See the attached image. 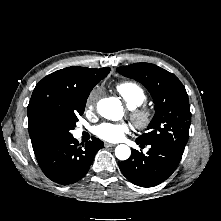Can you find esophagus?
Here are the masks:
<instances>
[{
	"label": "esophagus",
	"instance_id": "1",
	"mask_svg": "<svg viewBox=\"0 0 221 221\" xmlns=\"http://www.w3.org/2000/svg\"><path fill=\"white\" fill-rule=\"evenodd\" d=\"M104 146H105L106 148H111V147H115L116 145H115V144L108 143V142H105V143H104Z\"/></svg>",
	"mask_w": 221,
	"mask_h": 221
}]
</instances>
